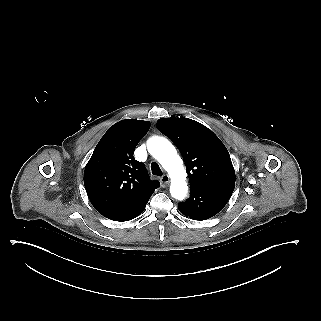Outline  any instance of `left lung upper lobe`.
I'll return each mask as SVG.
<instances>
[{
  "label": "left lung upper lobe",
  "instance_id": "1",
  "mask_svg": "<svg viewBox=\"0 0 321 321\" xmlns=\"http://www.w3.org/2000/svg\"><path fill=\"white\" fill-rule=\"evenodd\" d=\"M157 128L182 153L190 187L235 184L230 155L221 140L207 127L188 118H161Z\"/></svg>",
  "mask_w": 321,
  "mask_h": 321
}]
</instances>
